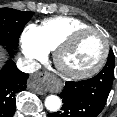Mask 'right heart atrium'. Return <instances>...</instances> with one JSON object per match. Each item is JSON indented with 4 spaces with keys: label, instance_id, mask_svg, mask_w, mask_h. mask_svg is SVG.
I'll return each mask as SVG.
<instances>
[{
    "label": "right heart atrium",
    "instance_id": "1",
    "mask_svg": "<svg viewBox=\"0 0 117 117\" xmlns=\"http://www.w3.org/2000/svg\"><path fill=\"white\" fill-rule=\"evenodd\" d=\"M20 41L22 52L30 63L41 61L47 56L48 50L40 40L37 26L28 25L23 30Z\"/></svg>",
    "mask_w": 117,
    "mask_h": 117
}]
</instances>
